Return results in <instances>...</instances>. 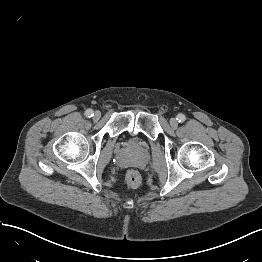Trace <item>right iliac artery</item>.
Instances as JSON below:
<instances>
[{"label":"right iliac artery","mask_w":262,"mask_h":262,"mask_svg":"<svg viewBox=\"0 0 262 262\" xmlns=\"http://www.w3.org/2000/svg\"><path fill=\"white\" fill-rule=\"evenodd\" d=\"M85 115L88 118L92 117L94 115L93 110L91 109L86 110Z\"/></svg>","instance_id":"right-iliac-artery-1"}]
</instances>
